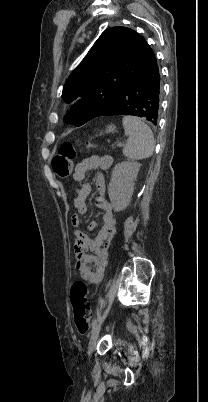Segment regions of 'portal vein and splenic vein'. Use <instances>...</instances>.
Wrapping results in <instances>:
<instances>
[{"instance_id": "portal-vein-and-splenic-vein-1", "label": "portal vein and splenic vein", "mask_w": 208, "mask_h": 402, "mask_svg": "<svg viewBox=\"0 0 208 402\" xmlns=\"http://www.w3.org/2000/svg\"><path fill=\"white\" fill-rule=\"evenodd\" d=\"M119 146H123V144L116 145V148H119Z\"/></svg>"}]
</instances>
